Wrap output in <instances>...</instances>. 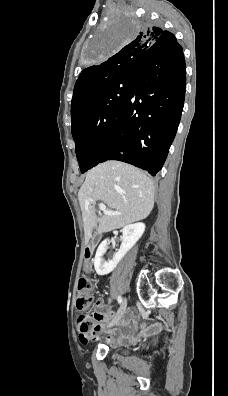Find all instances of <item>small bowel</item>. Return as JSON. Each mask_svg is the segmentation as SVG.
Returning a JSON list of instances; mask_svg holds the SVG:
<instances>
[{
	"label": "small bowel",
	"mask_w": 228,
	"mask_h": 396,
	"mask_svg": "<svg viewBox=\"0 0 228 396\" xmlns=\"http://www.w3.org/2000/svg\"><path fill=\"white\" fill-rule=\"evenodd\" d=\"M115 312L108 306L103 304L99 305L97 312V319L94 328L89 333L79 334V340L82 344H87L90 340L97 339L99 333L106 330L107 324L114 319ZM133 312L129 311L126 316L119 320L114 329L106 330L107 341L112 344L135 342L144 336L147 332L145 327L138 329L137 325L132 323Z\"/></svg>",
	"instance_id": "obj_1"
}]
</instances>
